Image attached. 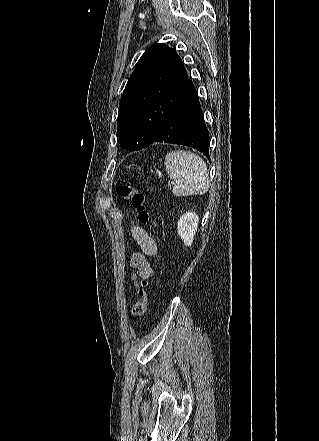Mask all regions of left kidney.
I'll use <instances>...</instances> for the list:
<instances>
[{
    "instance_id": "obj_1",
    "label": "left kidney",
    "mask_w": 319,
    "mask_h": 441,
    "mask_svg": "<svg viewBox=\"0 0 319 441\" xmlns=\"http://www.w3.org/2000/svg\"><path fill=\"white\" fill-rule=\"evenodd\" d=\"M199 217L195 212L188 211L180 217L177 223L178 235L183 240L184 244L191 246L194 240L195 233L198 228Z\"/></svg>"
}]
</instances>
